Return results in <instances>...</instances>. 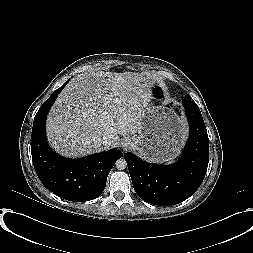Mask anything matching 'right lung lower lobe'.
I'll return each mask as SVG.
<instances>
[{
	"mask_svg": "<svg viewBox=\"0 0 253 253\" xmlns=\"http://www.w3.org/2000/svg\"><path fill=\"white\" fill-rule=\"evenodd\" d=\"M67 82L43 103L34 118L32 161L40 181L48 190L69 201H90L102 194L110 170L123 154L112 149L80 159H67L49 147L46 141V117Z\"/></svg>",
	"mask_w": 253,
	"mask_h": 253,
	"instance_id": "right-lung-lower-lobe-1",
	"label": "right lung lower lobe"
}]
</instances>
